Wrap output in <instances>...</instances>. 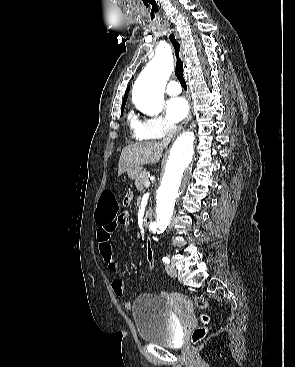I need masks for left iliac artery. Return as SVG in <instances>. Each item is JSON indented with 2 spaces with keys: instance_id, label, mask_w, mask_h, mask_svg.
<instances>
[{
  "instance_id": "1",
  "label": "left iliac artery",
  "mask_w": 295,
  "mask_h": 367,
  "mask_svg": "<svg viewBox=\"0 0 295 367\" xmlns=\"http://www.w3.org/2000/svg\"><path fill=\"white\" fill-rule=\"evenodd\" d=\"M162 261L166 264L170 263V259L168 257H163Z\"/></svg>"
}]
</instances>
